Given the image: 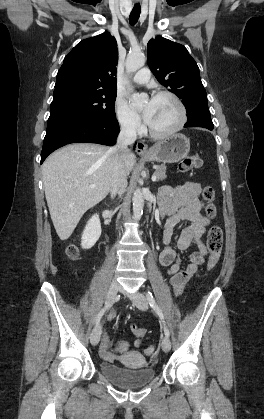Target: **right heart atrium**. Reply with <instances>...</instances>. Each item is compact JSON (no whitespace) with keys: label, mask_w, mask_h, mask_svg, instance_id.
Segmentation results:
<instances>
[{"label":"right heart atrium","mask_w":264,"mask_h":419,"mask_svg":"<svg viewBox=\"0 0 264 419\" xmlns=\"http://www.w3.org/2000/svg\"><path fill=\"white\" fill-rule=\"evenodd\" d=\"M114 112L120 127L130 133L137 134L142 129L139 115L130 107L125 98L118 95L114 101Z\"/></svg>","instance_id":"obj_1"}]
</instances>
